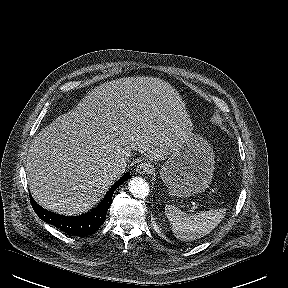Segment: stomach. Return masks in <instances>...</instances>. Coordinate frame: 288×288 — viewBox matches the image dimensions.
Instances as JSON below:
<instances>
[{
	"label": "stomach",
	"instance_id": "1",
	"mask_svg": "<svg viewBox=\"0 0 288 288\" xmlns=\"http://www.w3.org/2000/svg\"><path fill=\"white\" fill-rule=\"evenodd\" d=\"M214 163L207 140L191 133L170 153L160 168V177L171 196L189 197L209 187Z\"/></svg>",
	"mask_w": 288,
	"mask_h": 288
}]
</instances>
